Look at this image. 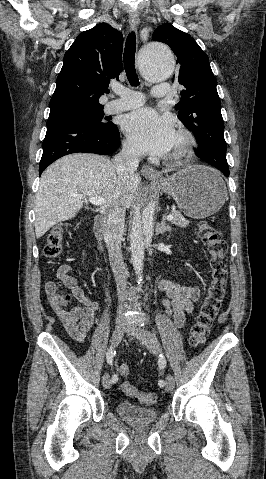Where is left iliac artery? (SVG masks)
<instances>
[{"label": "left iliac artery", "mask_w": 266, "mask_h": 479, "mask_svg": "<svg viewBox=\"0 0 266 479\" xmlns=\"http://www.w3.org/2000/svg\"><path fill=\"white\" fill-rule=\"evenodd\" d=\"M158 367H160L159 369L161 370H165L167 368V365H166V359L163 357V355H160V358H159V362H158ZM159 386L160 387H163L165 386V382L163 380H160L159 381Z\"/></svg>", "instance_id": "left-iliac-artery-1"}]
</instances>
